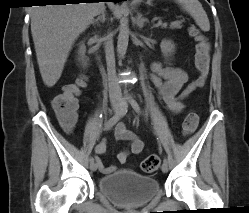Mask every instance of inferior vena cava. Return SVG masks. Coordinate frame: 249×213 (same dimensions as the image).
<instances>
[{
    "label": "inferior vena cava",
    "mask_w": 249,
    "mask_h": 213,
    "mask_svg": "<svg viewBox=\"0 0 249 213\" xmlns=\"http://www.w3.org/2000/svg\"><path fill=\"white\" fill-rule=\"evenodd\" d=\"M104 50L106 55L109 90L110 92H116L119 94L120 87L116 78L113 36L111 33H108V35L104 37Z\"/></svg>",
    "instance_id": "1"
}]
</instances>
